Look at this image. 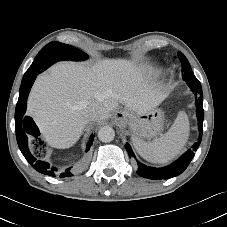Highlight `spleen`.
Returning a JSON list of instances; mask_svg holds the SVG:
<instances>
[{"label": "spleen", "instance_id": "1", "mask_svg": "<svg viewBox=\"0 0 227 227\" xmlns=\"http://www.w3.org/2000/svg\"><path fill=\"white\" fill-rule=\"evenodd\" d=\"M189 119L180 111L170 129L152 142L133 137L132 142L141 157L152 163H167L175 158L189 137Z\"/></svg>", "mask_w": 227, "mask_h": 227}]
</instances>
